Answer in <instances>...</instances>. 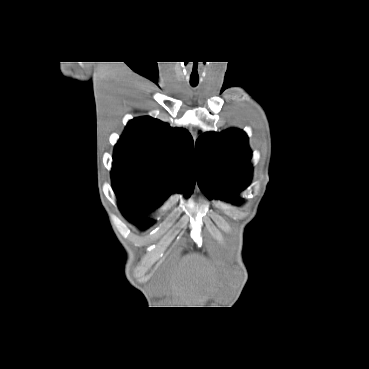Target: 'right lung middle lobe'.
<instances>
[{"mask_svg": "<svg viewBox=\"0 0 369 369\" xmlns=\"http://www.w3.org/2000/svg\"><path fill=\"white\" fill-rule=\"evenodd\" d=\"M112 185L123 214L140 226H149L152 220L140 218L135 216L134 213H148L159 207L165 199L136 191L120 180L112 179Z\"/></svg>", "mask_w": 369, "mask_h": 369, "instance_id": "dd1d6c3e", "label": "right lung middle lobe"}]
</instances>
